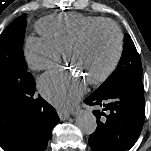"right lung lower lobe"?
<instances>
[{
    "mask_svg": "<svg viewBox=\"0 0 151 151\" xmlns=\"http://www.w3.org/2000/svg\"><path fill=\"white\" fill-rule=\"evenodd\" d=\"M8 79L0 75V98L13 87ZM18 90L21 92L17 105L19 134L14 151H45L59 117L41 96H35V81L31 73L27 72L18 81Z\"/></svg>",
    "mask_w": 151,
    "mask_h": 151,
    "instance_id": "98d812e1",
    "label": "right lung lower lobe"
}]
</instances>
